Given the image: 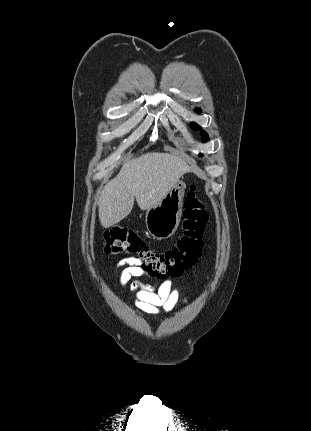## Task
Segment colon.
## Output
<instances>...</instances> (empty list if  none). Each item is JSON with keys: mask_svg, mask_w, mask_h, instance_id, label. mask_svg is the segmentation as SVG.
<instances>
[{"mask_svg": "<svg viewBox=\"0 0 311 431\" xmlns=\"http://www.w3.org/2000/svg\"><path fill=\"white\" fill-rule=\"evenodd\" d=\"M206 221L204 204L197 193L196 185L192 184L184 200L182 233L172 248L155 250L136 232L115 227L104 234V251L107 254L134 255L150 276L159 279L178 277L200 257Z\"/></svg>", "mask_w": 311, "mask_h": 431, "instance_id": "5ec220e1", "label": "colon"}]
</instances>
